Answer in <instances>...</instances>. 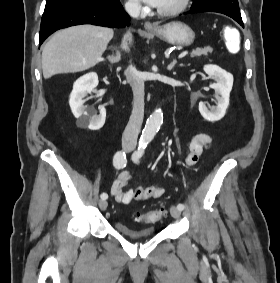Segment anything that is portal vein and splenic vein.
I'll use <instances>...</instances> for the list:
<instances>
[{"instance_id": "portal-vein-and-splenic-vein-1", "label": "portal vein and splenic vein", "mask_w": 280, "mask_h": 283, "mask_svg": "<svg viewBox=\"0 0 280 283\" xmlns=\"http://www.w3.org/2000/svg\"><path fill=\"white\" fill-rule=\"evenodd\" d=\"M188 54V51H183L182 53L179 54L178 58L181 59L185 57Z\"/></svg>"}]
</instances>
